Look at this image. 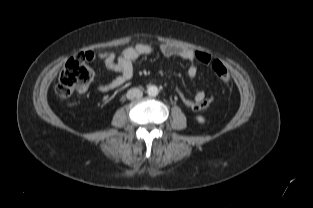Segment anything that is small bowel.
Returning a JSON list of instances; mask_svg holds the SVG:
<instances>
[{"label":"small bowel","mask_w":313,"mask_h":208,"mask_svg":"<svg viewBox=\"0 0 313 208\" xmlns=\"http://www.w3.org/2000/svg\"><path fill=\"white\" fill-rule=\"evenodd\" d=\"M159 50L166 57H179L192 63L188 68L187 75L191 79L196 77L198 68L194 64L197 60L193 50L172 44H162ZM152 52L153 48L146 43H138L135 46L127 47L118 56L113 52H100L98 54L89 52L93 55L92 59L98 58L102 60L108 70L117 74L111 82L100 85L98 90L102 93H106L125 84L133 75L134 62L141 56L149 55ZM206 98V94L203 91H199L195 95L194 101L199 103Z\"/></svg>","instance_id":"c3829d8e"}]
</instances>
